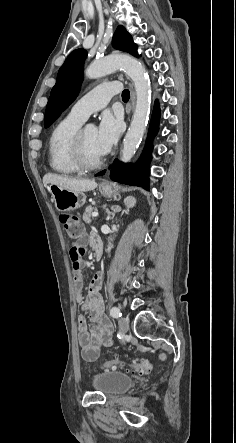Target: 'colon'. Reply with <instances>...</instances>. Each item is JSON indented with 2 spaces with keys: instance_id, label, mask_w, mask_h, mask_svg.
<instances>
[{
  "instance_id": "1",
  "label": "colon",
  "mask_w": 236,
  "mask_h": 443,
  "mask_svg": "<svg viewBox=\"0 0 236 443\" xmlns=\"http://www.w3.org/2000/svg\"><path fill=\"white\" fill-rule=\"evenodd\" d=\"M60 222L67 233L68 237L72 240H78L83 235V225L80 219L76 215L72 214H62L60 216ZM83 252L77 248V246L71 249V262L74 270H79L81 268V256ZM89 361V355L84 357ZM119 365L118 361L107 362L102 366V370L115 369ZM151 365L147 361L136 362L132 366V369L141 373L148 372Z\"/></svg>"
}]
</instances>
